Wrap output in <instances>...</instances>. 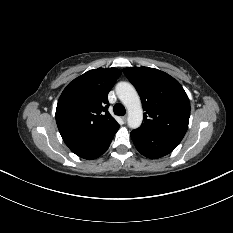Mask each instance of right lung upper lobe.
<instances>
[{
    "label": "right lung upper lobe",
    "instance_id": "right-lung-upper-lobe-1",
    "mask_svg": "<svg viewBox=\"0 0 233 233\" xmlns=\"http://www.w3.org/2000/svg\"><path fill=\"white\" fill-rule=\"evenodd\" d=\"M121 75L116 68H98L74 79L62 92L56 123L68 147L88 143L119 126L108 112V93Z\"/></svg>",
    "mask_w": 233,
    "mask_h": 233
}]
</instances>
